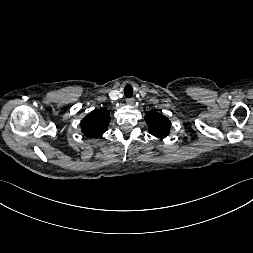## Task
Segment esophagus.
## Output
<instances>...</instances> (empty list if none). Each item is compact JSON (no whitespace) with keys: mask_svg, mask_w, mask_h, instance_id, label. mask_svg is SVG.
Wrapping results in <instances>:
<instances>
[{"mask_svg":"<svg viewBox=\"0 0 253 253\" xmlns=\"http://www.w3.org/2000/svg\"><path fill=\"white\" fill-rule=\"evenodd\" d=\"M126 102H127L128 105H133L134 102H135V99H134V98H128V99L126 100Z\"/></svg>","mask_w":253,"mask_h":253,"instance_id":"34e87169","label":"esophagus"}]
</instances>
